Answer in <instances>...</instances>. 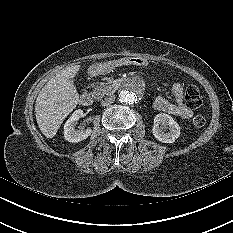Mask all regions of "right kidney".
<instances>
[{
  "label": "right kidney",
  "instance_id": "1",
  "mask_svg": "<svg viewBox=\"0 0 233 233\" xmlns=\"http://www.w3.org/2000/svg\"><path fill=\"white\" fill-rule=\"evenodd\" d=\"M83 116V110L78 109L73 112L70 118L64 125V137L67 141L76 143L86 139L88 136L91 135L92 129H79L75 128L78 120Z\"/></svg>",
  "mask_w": 233,
  "mask_h": 233
}]
</instances>
